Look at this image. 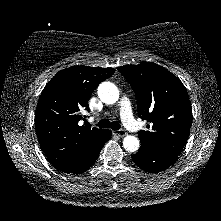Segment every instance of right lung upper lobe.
I'll list each match as a JSON object with an SVG mask.
<instances>
[{
	"instance_id": "cb5924a9",
	"label": "right lung upper lobe",
	"mask_w": 221,
	"mask_h": 221,
	"mask_svg": "<svg viewBox=\"0 0 221 221\" xmlns=\"http://www.w3.org/2000/svg\"><path fill=\"white\" fill-rule=\"evenodd\" d=\"M115 69L71 66L57 73L42 91L35 113L38 141L50 161L61 170L76 159L104 130L80 126L93 90Z\"/></svg>"
}]
</instances>
